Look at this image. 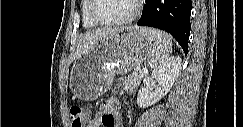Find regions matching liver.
<instances>
[{
    "instance_id": "obj_1",
    "label": "liver",
    "mask_w": 243,
    "mask_h": 127,
    "mask_svg": "<svg viewBox=\"0 0 243 127\" xmlns=\"http://www.w3.org/2000/svg\"><path fill=\"white\" fill-rule=\"evenodd\" d=\"M122 29L123 28L94 30L81 35L78 39L76 54L72 57L70 62H72L73 59L79 57L80 55L90 51L99 40L109 35H112Z\"/></svg>"
}]
</instances>
